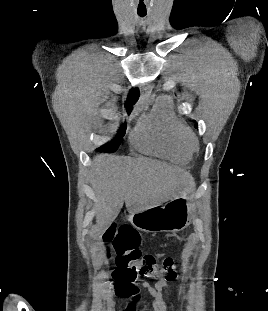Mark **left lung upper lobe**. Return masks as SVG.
Masks as SVG:
<instances>
[{
    "mask_svg": "<svg viewBox=\"0 0 268 311\" xmlns=\"http://www.w3.org/2000/svg\"><path fill=\"white\" fill-rule=\"evenodd\" d=\"M195 127L197 128V123L195 124Z\"/></svg>",
    "mask_w": 268,
    "mask_h": 311,
    "instance_id": "left-lung-upper-lobe-1",
    "label": "left lung upper lobe"
}]
</instances>
